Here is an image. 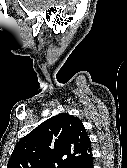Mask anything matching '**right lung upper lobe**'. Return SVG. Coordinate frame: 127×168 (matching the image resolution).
I'll use <instances>...</instances> for the list:
<instances>
[{
	"mask_svg": "<svg viewBox=\"0 0 127 168\" xmlns=\"http://www.w3.org/2000/svg\"><path fill=\"white\" fill-rule=\"evenodd\" d=\"M89 157L91 142L81 120L62 113L23 137L7 168H75Z\"/></svg>",
	"mask_w": 127,
	"mask_h": 168,
	"instance_id": "cb5924a9",
	"label": "right lung upper lobe"
}]
</instances>
